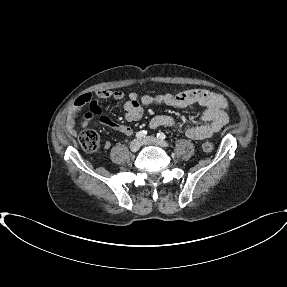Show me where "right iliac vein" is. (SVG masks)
Segmentation results:
<instances>
[{
	"instance_id": "right-iliac-vein-1",
	"label": "right iliac vein",
	"mask_w": 287,
	"mask_h": 287,
	"mask_svg": "<svg viewBox=\"0 0 287 287\" xmlns=\"http://www.w3.org/2000/svg\"><path fill=\"white\" fill-rule=\"evenodd\" d=\"M141 147V141L139 139H134L130 142L129 148L132 152H137Z\"/></svg>"
}]
</instances>
